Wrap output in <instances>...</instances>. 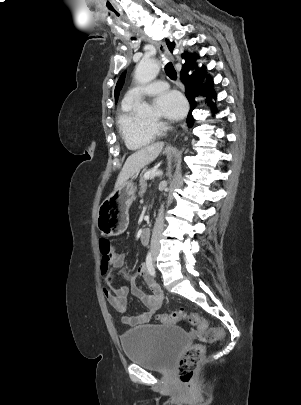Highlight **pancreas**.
Listing matches in <instances>:
<instances>
[{
	"label": "pancreas",
	"instance_id": "pancreas-1",
	"mask_svg": "<svg viewBox=\"0 0 301 405\" xmlns=\"http://www.w3.org/2000/svg\"><path fill=\"white\" fill-rule=\"evenodd\" d=\"M139 186V196L142 197L147 189V179L144 176L140 178Z\"/></svg>",
	"mask_w": 301,
	"mask_h": 405
}]
</instances>
